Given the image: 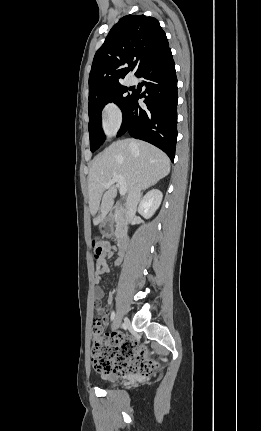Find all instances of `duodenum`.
<instances>
[{
  "label": "duodenum",
  "instance_id": "1",
  "mask_svg": "<svg viewBox=\"0 0 261 431\" xmlns=\"http://www.w3.org/2000/svg\"><path fill=\"white\" fill-rule=\"evenodd\" d=\"M110 221H106V230L108 231L110 228ZM129 240L126 234L122 233L119 236V242H118V251H119V258L123 257L124 252L128 248Z\"/></svg>",
  "mask_w": 261,
  "mask_h": 431
}]
</instances>
